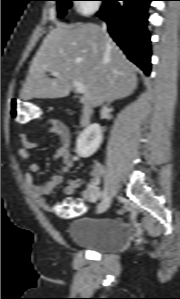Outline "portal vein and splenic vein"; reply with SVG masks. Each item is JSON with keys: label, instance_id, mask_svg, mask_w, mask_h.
<instances>
[{"label": "portal vein and splenic vein", "instance_id": "1", "mask_svg": "<svg viewBox=\"0 0 180 299\" xmlns=\"http://www.w3.org/2000/svg\"><path fill=\"white\" fill-rule=\"evenodd\" d=\"M54 77H58L59 76V72L58 71H53L51 73ZM73 86L75 88V91L77 93H80V94H85L87 92V88L84 84H82L81 82H78L76 80L73 81Z\"/></svg>", "mask_w": 180, "mask_h": 299}]
</instances>
